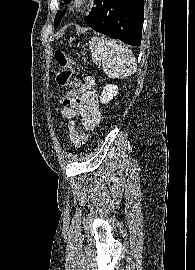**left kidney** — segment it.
I'll use <instances>...</instances> for the list:
<instances>
[{
    "label": "left kidney",
    "instance_id": "obj_1",
    "mask_svg": "<svg viewBox=\"0 0 195 270\" xmlns=\"http://www.w3.org/2000/svg\"><path fill=\"white\" fill-rule=\"evenodd\" d=\"M117 94H118L117 85L108 84L103 88V91L100 96V101L102 104H108Z\"/></svg>",
    "mask_w": 195,
    "mask_h": 270
}]
</instances>
